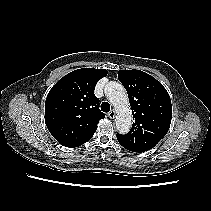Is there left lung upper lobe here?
Instances as JSON below:
<instances>
[{"instance_id": "1", "label": "left lung upper lobe", "mask_w": 211, "mask_h": 211, "mask_svg": "<svg viewBox=\"0 0 211 211\" xmlns=\"http://www.w3.org/2000/svg\"><path fill=\"white\" fill-rule=\"evenodd\" d=\"M134 122L129 133L117 134L119 143L133 152L152 149L167 134L172 119L171 99L164 86L140 70H120Z\"/></svg>"}]
</instances>
